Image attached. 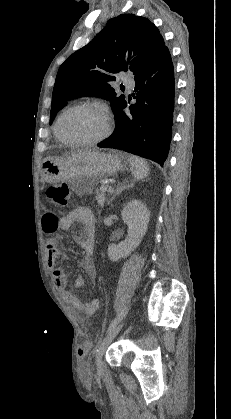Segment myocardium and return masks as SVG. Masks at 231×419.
Masks as SVG:
<instances>
[{"instance_id":"myocardium-1","label":"myocardium","mask_w":231,"mask_h":419,"mask_svg":"<svg viewBox=\"0 0 231 419\" xmlns=\"http://www.w3.org/2000/svg\"><path fill=\"white\" fill-rule=\"evenodd\" d=\"M77 109H90V110H95L98 111L100 113L103 114L104 118H105V129L103 130V132L91 139H84V140H78V139H71L69 137H67L61 129V124L62 121L64 119V117ZM111 127H112V120H111V116L108 112V110L103 107L102 105L99 104H95V103H79V104H75L67 109H65L59 116L57 123H56V129H57V133L59 135V137L66 143L71 144V145H93V144H97L99 142H101L102 140H104L111 131Z\"/></svg>"}]
</instances>
